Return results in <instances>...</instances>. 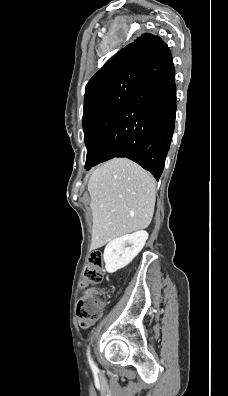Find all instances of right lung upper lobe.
<instances>
[{"mask_svg":"<svg viewBox=\"0 0 228 396\" xmlns=\"http://www.w3.org/2000/svg\"><path fill=\"white\" fill-rule=\"evenodd\" d=\"M162 44L164 42L160 37L149 33L142 34L109 59L91 78L86 85L85 96L109 79L135 70H143L144 60L151 56Z\"/></svg>","mask_w":228,"mask_h":396,"instance_id":"right-lung-upper-lobe-1","label":"right lung upper lobe"}]
</instances>
